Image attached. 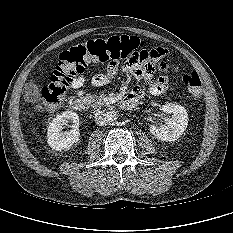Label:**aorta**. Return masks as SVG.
Listing matches in <instances>:
<instances>
[{
	"mask_svg": "<svg viewBox=\"0 0 233 233\" xmlns=\"http://www.w3.org/2000/svg\"><path fill=\"white\" fill-rule=\"evenodd\" d=\"M106 118L109 123L115 122L118 119V113L115 110L107 111Z\"/></svg>",
	"mask_w": 233,
	"mask_h": 233,
	"instance_id": "aorta-1",
	"label": "aorta"
}]
</instances>
